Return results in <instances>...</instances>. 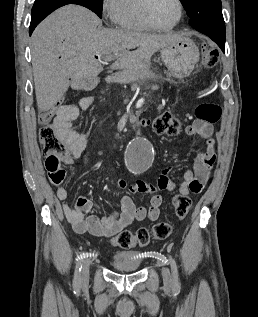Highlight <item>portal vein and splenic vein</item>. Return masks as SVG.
<instances>
[{
	"label": "portal vein and splenic vein",
	"instance_id": "portal-vein-and-splenic-vein-1",
	"mask_svg": "<svg viewBox=\"0 0 258 317\" xmlns=\"http://www.w3.org/2000/svg\"><path fill=\"white\" fill-rule=\"evenodd\" d=\"M112 58H115V54L114 56H105L104 60H112Z\"/></svg>",
	"mask_w": 258,
	"mask_h": 317
}]
</instances>
